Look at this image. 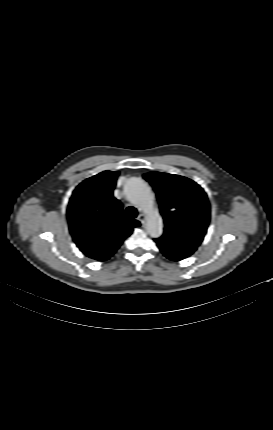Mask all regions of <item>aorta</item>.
<instances>
[{
	"mask_svg": "<svg viewBox=\"0 0 273 430\" xmlns=\"http://www.w3.org/2000/svg\"><path fill=\"white\" fill-rule=\"evenodd\" d=\"M128 200L147 216L146 229L152 238L160 237L163 233V219L154 206V196L149 185L142 179L133 177L126 186Z\"/></svg>",
	"mask_w": 273,
	"mask_h": 430,
	"instance_id": "1",
	"label": "aorta"
}]
</instances>
